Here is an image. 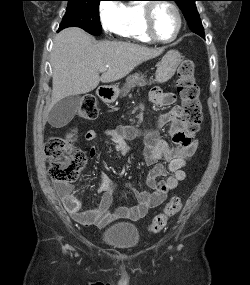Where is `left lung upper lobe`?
Here are the masks:
<instances>
[{
    "mask_svg": "<svg viewBox=\"0 0 250 285\" xmlns=\"http://www.w3.org/2000/svg\"><path fill=\"white\" fill-rule=\"evenodd\" d=\"M177 3L182 10L184 17L192 32L200 35H204V28L202 26L198 11L196 9L195 1L197 0H173Z\"/></svg>",
    "mask_w": 250,
    "mask_h": 285,
    "instance_id": "left-lung-upper-lobe-1",
    "label": "left lung upper lobe"
}]
</instances>
